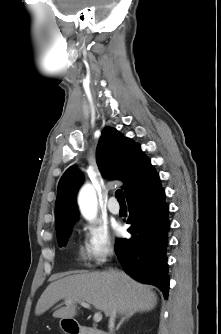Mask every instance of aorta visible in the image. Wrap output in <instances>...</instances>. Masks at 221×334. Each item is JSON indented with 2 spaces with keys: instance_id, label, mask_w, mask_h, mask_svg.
<instances>
[{
  "instance_id": "762f6f07",
  "label": "aorta",
  "mask_w": 221,
  "mask_h": 334,
  "mask_svg": "<svg viewBox=\"0 0 221 334\" xmlns=\"http://www.w3.org/2000/svg\"><path fill=\"white\" fill-rule=\"evenodd\" d=\"M78 204L82 215L92 220L97 214V198L93 187L89 184L84 185L78 195Z\"/></svg>"
}]
</instances>
